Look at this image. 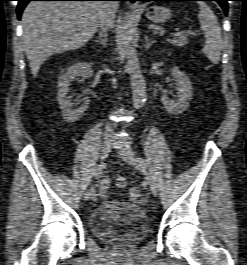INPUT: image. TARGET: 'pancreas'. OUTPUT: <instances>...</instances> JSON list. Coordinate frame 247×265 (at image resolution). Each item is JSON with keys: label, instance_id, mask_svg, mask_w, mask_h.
<instances>
[{"label": "pancreas", "instance_id": "1", "mask_svg": "<svg viewBox=\"0 0 247 265\" xmlns=\"http://www.w3.org/2000/svg\"><path fill=\"white\" fill-rule=\"evenodd\" d=\"M190 33L173 36L172 39H168V42L176 47H183L188 44V37Z\"/></svg>", "mask_w": 247, "mask_h": 265}]
</instances>
